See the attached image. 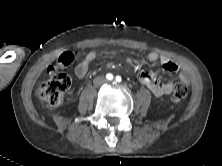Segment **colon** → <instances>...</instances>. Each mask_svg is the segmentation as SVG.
Masks as SVG:
<instances>
[{
  "label": "colon",
  "mask_w": 222,
  "mask_h": 166,
  "mask_svg": "<svg viewBox=\"0 0 222 166\" xmlns=\"http://www.w3.org/2000/svg\"><path fill=\"white\" fill-rule=\"evenodd\" d=\"M75 58L74 52L63 53L57 63L49 69L51 78L41 83L38 95L48 108L55 109L62 104L65 93L71 84L69 76L63 73L62 69L70 66ZM187 95L188 86L186 84L180 82L174 86L172 97L176 102L183 101Z\"/></svg>",
  "instance_id": "5ec220e1"
}]
</instances>
